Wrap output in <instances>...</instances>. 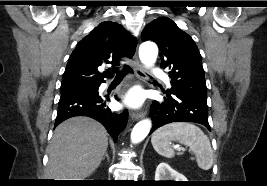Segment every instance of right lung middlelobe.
Here are the masks:
<instances>
[{
    "label": "right lung middle lobe",
    "instance_id": "dd1d6c3e",
    "mask_svg": "<svg viewBox=\"0 0 267 186\" xmlns=\"http://www.w3.org/2000/svg\"><path fill=\"white\" fill-rule=\"evenodd\" d=\"M75 87H86L90 89H97L98 84H75V85H61L60 87V92L65 91L70 88H75Z\"/></svg>",
    "mask_w": 267,
    "mask_h": 186
}]
</instances>
